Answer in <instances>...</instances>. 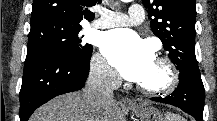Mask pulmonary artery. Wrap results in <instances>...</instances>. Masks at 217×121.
<instances>
[{"label":"pulmonary artery","mask_w":217,"mask_h":121,"mask_svg":"<svg viewBox=\"0 0 217 121\" xmlns=\"http://www.w3.org/2000/svg\"><path fill=\"white\" fill-rule=\"evenodd\" d=\"M144 20V9L141 5H132L128 13L111 11L104 9L100 12V17L92 22L95 28H110L117 26L137 25Z\"/></svg>","instance_id":"e3ab8cb5"}]
</instances>
